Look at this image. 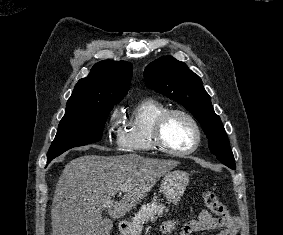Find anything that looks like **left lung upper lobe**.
I'll return each instance as SVG.
<instances>
[{
	"instance_id": "5c2ea615",
	"label": "left lung upper lobe",
	"mask_w": 283,
	"mask_h": 235,
	"mask_svg": "<svg viewBox=\"0 0 283 235\" xmlns=\"http://www.w3.org/2000/svg\"><path fill=\"white\" fill-rule=\"evenodd\" d=\"M147 86L183 105L201 124L215 156L233 157L220 117L198 75L171 56L161 57L144 70Z\"/></svg>"
}]
</instances>
